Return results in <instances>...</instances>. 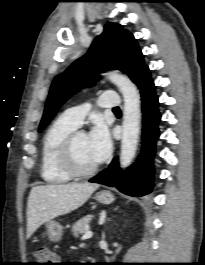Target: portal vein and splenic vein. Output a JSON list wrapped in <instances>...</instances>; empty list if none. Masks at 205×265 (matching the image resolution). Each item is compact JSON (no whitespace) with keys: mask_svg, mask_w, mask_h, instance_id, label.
Listing matches in <instances>:
<instances>
[{"mask_svg":"<svg viewBox=\"0 0 205 265\" xmlns=\"http://www.w3.org/2000/svg\"><path fill=\"white\" fill-rule=\"evenodd\" d=\"M92 235H93V232L88 230V231H86V232L84 233V235L82 236V240H85V239L91 238Z\"/></svg>","mask_w":205,"mask_h":265,"instance_id":"18ae733b","label":"portal vein and splenic vein"}]
</instances>
